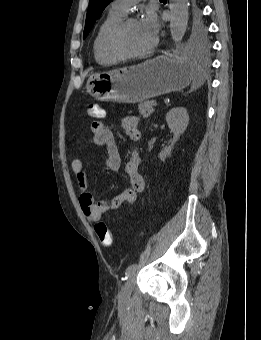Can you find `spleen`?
<instances>
[{"mask_svg": "<svg viewBox=\"0 0 261 340\" xmlns=\"http://www.w3.org/2000/svg\"><path fill=\"white\" fill-rule=\"evenodd\" d=\"M202 83H203L202 73L199 69H196L195 76H194V79H193L192 88L197 89L198 87H200L202 85Z\"/></svg>", "mask_w": 261, "mask_h": 340, "instance_id": "spleen-1", "label": "spleen"}]
</instances>
